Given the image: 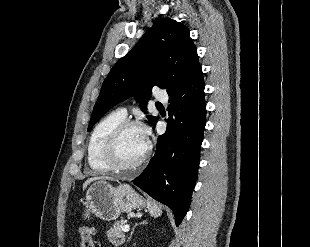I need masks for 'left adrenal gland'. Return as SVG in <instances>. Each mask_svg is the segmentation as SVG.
Wrapping results in <instances>:
<instances>
[{"label":"left adrenal gland","mask_w":310,"mask_h":247,"mask_svg":"<svg viewBox=\"0 0 310 247\" xmlns=\"http://www.w3.org/2000/svg\"><path fill=\"white\" fill-rule=\"evenodd\" d=\"M139 224H147V221H143V222H141V223H139ZM137 225H138V224H135V226L132 228L131 234H130V236L128 237L127 242H130V240H131V238H132V235H133V233H134V230H135V228H136Z\"/></svg>","instance_id":"left-adrenal-gland-1"}]
</instances>
